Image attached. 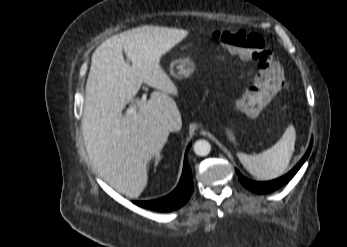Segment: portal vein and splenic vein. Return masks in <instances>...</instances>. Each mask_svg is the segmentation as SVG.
I'll list each match as a JSON object with an SVG mask.
<instances>
[{
	"mask_svg": "<svg viewBox=\"0 0 347 247\" xmlns=\"http://www.w3.org/2000/svg\"><path fill=\"white\" fill-rule=\"evenodd\" d=\"M146 98H147V95L146 94H143L142 95V98L140 100L137 101V105H140L141 103H144L146 102ZM138 108L137 106H130L127 110H126V115H132V114H135L137 112Z\"/></svg>",
	"mask_w": 347,
	"mask_h": 247,
	"instance_id": "1",
	"label": "portal vein and splenic vein"
}]
</instances>
